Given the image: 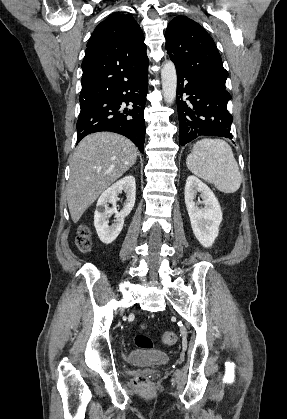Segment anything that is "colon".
<instances>
[{"instance_id":"obj_1","label":"colon","mask_w":287,"mask_h":419,"mask_svg":"<svg viewBox=\"0 0 287 419\" xmlns=\"http://www.w3.org/2000/svg\"><path fill=\"white\" fill-rule=\"evenodd\" d=\"M76 244L82 251H87L91 247L90 232L86 227H82L79 230L76 238ZM177 334L174 331H166L161 335V342L166 346H172L177 342ZM135 344L141 349H151L153 347L152 340L145 334H138L135 336ZM147 382V378L144 375H138L134 378L133 383L135 385H143Z\"/></svg>"}]
</instances>
